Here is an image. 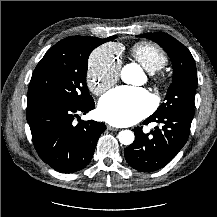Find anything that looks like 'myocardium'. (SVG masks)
Wrapping results in <instances>:
<instances>
[{
    "mask_svg": "<svg viewBox=\"0 0 217 217\" xmlns=\"http://www.w3.org/2000/svg\"><path fill=\"white\" fill-rule=\"evenodd\" d=\"M158 81L163 83V82H165V78L164 77H158Z\"/></svg>",
    "mask_w": 217,
    "mask_h": 217,
    "instance_id": "myocardium-1",
    "label": "myocardium"
}]
</instances>
